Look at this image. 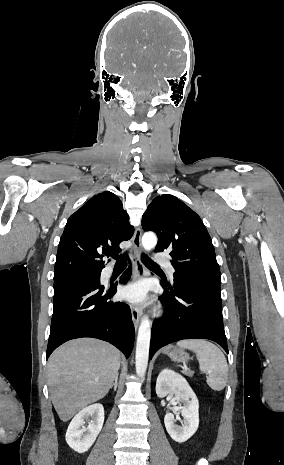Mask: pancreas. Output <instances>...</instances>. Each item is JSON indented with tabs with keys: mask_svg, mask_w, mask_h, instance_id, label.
<instances>
[{
	"mask_svg": "<svg viewBox=\"0 0 284 465\" xmlns=\"http://www.w3.org/2000/svg\"><path fill=\"white\" fill-rule=\"evenodd\" d=\"M184 375H187V377H193L194 371H185Z\"/></svg>",
	"mask_w": 284,
	"mask_h": 465,
	"instance_id": "obj_1",
	"label": "pancreas"
}]
</instances>
